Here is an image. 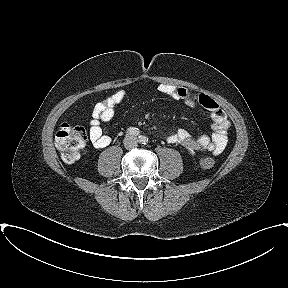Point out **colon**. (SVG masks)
Returning <instances> with one entry per match:
<instances>
[{"instance_id": "obj_1", "label": "colon", "mask_w": 288, "mask_h": 288, "mask_svg": "<svg viewBox=\"0 0 288 288\" xmlns=\"http://www.w3.org/2000/svg\"><path fill=\"white\" fill-rule=\"evenodd\" d=\"M87 140L86 130L79 124L63 123L55 135V145L67 163H73L80 158ZM216 164L217 159L213 157L200 160V166L203 169H211Z\"/></svg>"}]
</instances>
